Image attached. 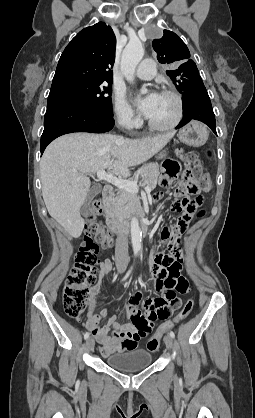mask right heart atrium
I'll list each match as a JSON object with an SVG mask.
<instances>
[{
	"label": "right heart atrium",
	"mask_w": 255,
	"mask_h": 418,
	"mask_svg": "<svg viewBox=\"0 0 255 418\" xmlns=\"http://www.w3.org/2000/svg\"><path fill=\"white\" fill-rule=\"evenodd\" d=\"M113 110L115 118L121 126L132 128L138 123V118L123 93L119 92L115 95Z\"/></svg>",
	"instance_id": "1"
}]
</instances>
